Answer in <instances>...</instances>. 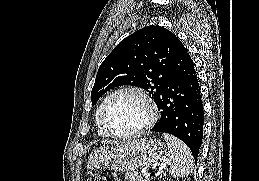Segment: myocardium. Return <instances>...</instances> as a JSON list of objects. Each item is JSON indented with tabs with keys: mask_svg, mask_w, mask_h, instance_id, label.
Here are the masks:
<instances>
[{
	"mask_svg": "<svg viewBox=\"0 0 259 181\" xmlns=\"http://www.w3.org/2000/svg\"><path fill=\"white\" fill-rule=\"evenodd\" d=\"M122 93H134V94L138 95L146 104L149 114H148V118H147L146 122L140 128H138L134 131L128 132V133L118 134V133L113 132L108 127L107 122H106V111H107V108H108L109 104L111 103V101ZM157 119H158V108H157L155 101L151 98V96L148 94V92L145 89H143L139 86H135V85L123 86V87H120L117 90L113 91L105 99V101L101 107V111H100V123H101L103 129L108 134V136L116 138V139H129V138L137 137V136L143 134L144 132H146L148 129H150L155 124Z\"/></svg>",
	"mask_w": 259,
	"mask_h": 181,
	"instance_id": "myocardium-1",
	"label": "myocardium"
}]
</instances>
